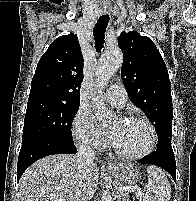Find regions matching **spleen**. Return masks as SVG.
Returning <instances> with one entry per match:
<instances>
[{
  "label": "spleen",
  "mask_w": 196,
  "mask_h": 201,
  "mask_svg": "<svg viewBox=\"0 0 196 201\" xmlns=\"http://www.w3.org/2000/svg\"><path fill=\"white\" fill-rule=\"evenodd\" d=\"M148 182L144 186L143 201H169L171 187L166 174L156 166L147 168Z\"/></svg>",
  "instance_id": "obj_1"
}]
</instances>
